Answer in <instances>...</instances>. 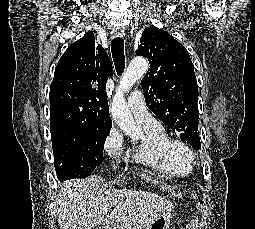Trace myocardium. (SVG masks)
Masks as SVG:
<instances>
[{
  "mask_svg": "<svg viewBox=\"0 0 255 229\" xmlns=\"http://www.w3.org/2000/svg\"><path fill=\"white\" fill-rule=\"evenodd\" d=\"M158 149L167 159L178 165L192 167L194 163L195 154L192 148L181 139L167 137L159 143ZM175 150H180L184 154V158L177 159Z\"/></svg>",
  "mask_w": 255,
  "mask_h": 229,
  "instance_id": "1",
  "label": "myocardium"
}]
</instances>
